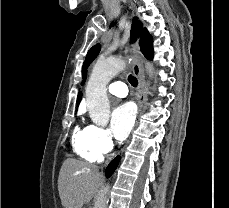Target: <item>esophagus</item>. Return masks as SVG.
I'll list each match as a JSON object with an SVG mask.
<instances>
[{
    "label": "esophagus",
    "mask_w": 229,
    "mask_h": 208,
    "mask_svg": "<svg viewBox=\"0 0 229 208\" xmlns=\"http://www.w3.org/2000/svg\"><path fill=\"white\" fill-rule=\"evenodd\" d=\"M138 54H139V44L137 40L130 47V55L132 57L131 67L135 77L139 82L137 97H138V104L140 107V111L142 112V109L144 108L146 102V92L144 89V76H143L141 62L137 59Z\"/></svg>",
    "instance_id": "34e87169"
}]
</instances>
